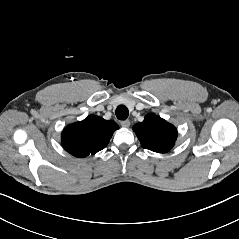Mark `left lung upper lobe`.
<instances>
[{
	"label": "left lung upper lobe",
	"mask_w": 239,
	"mask_h": 239,
	"mask_svg": "<svg viewBox=\"0 0 239 239\" xmlns=\"http://www.w3.org/2000/svg\"><path fill=\"white\" fill-rule=\"evenodd\" d=\"M141 145L158 153L171 150L177 139L176 128L154 114H147L143 122L133 127Z\"/></svg>",
	"instance_id": "5c2ea615"
}]
</instances>
